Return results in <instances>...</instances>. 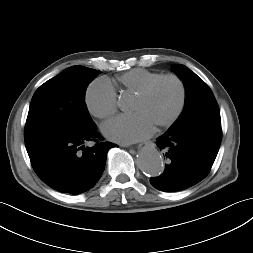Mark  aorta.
Here are the masks:
<instances>
[{
    "label": "aorta",
    "mask_w": 253,
    "mask_h": 253,
    "mask_svg": "<svg viewBox=\"0 0 253 253\" xmlns=\"http://www.w3.org/2000/svg\"><path fill=\"white\" fill-rule=\"evenodd\" d=\"M137 164L144 174L151 177H157L164 171L163 158L153 144H148L141 149Z\"/></svg>",
    "instance_id": "aorta-1"
}]
</instances>
